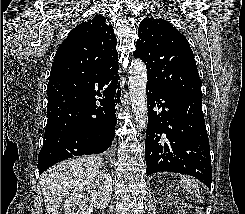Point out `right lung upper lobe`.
Here are the masks:
<instances>
[{
	"instance_id": "1",
	"label": "right lung upper lobe",
	"mask_w": 245,
	"mask_h": 214,
	"mask_svg": "<svg viewBox=\"0 0 245 214\" xmlns=\"http://www.w3.org/2000/svg\"><path fill=\"white\" fill-rule=\"evenodd\" d=\"M117 39L106 19L96 15L77 25L58 47L52 63L48 96L81 98L93 88L100 73L118 70Z\"/></svg>"
}]
</instances>
